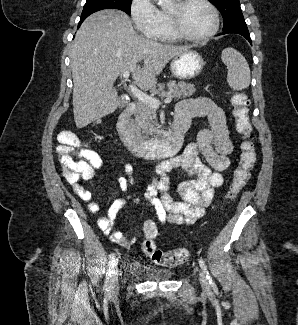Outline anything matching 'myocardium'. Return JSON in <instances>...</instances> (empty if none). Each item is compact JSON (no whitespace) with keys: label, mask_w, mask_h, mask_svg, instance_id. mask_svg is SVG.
Wrapping results in <instances>:
<instances>
[{"label":"myocardium","mask_w":298,"mask_h":325,"mask_svg":"<svg viewBox=\"0 0 298 325\" xmlns=\"http://www.w3.org/2000/svg\"><path fill=\"white\" fill-rule=\"evenodd\" d=\"M190 2H196L203 5L211 15L213 24L211 30L200 37H191L185 34L179 25L178 21V11L183 6ZM163 10L166 14V32L171 34L174 39L194 42V43H203L209 41L213 36L216 35L219 29V20L214 8L205 0H169L163 3Z\"/></svg>","instance_id":"obj_1"}]
</instances>
